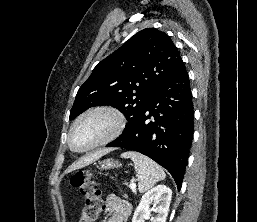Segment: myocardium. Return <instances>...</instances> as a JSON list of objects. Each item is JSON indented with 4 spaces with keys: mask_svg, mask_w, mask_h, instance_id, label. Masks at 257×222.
I'll return each instance as SVG.
<instances>
[{
    "mask_svg": "<svg viewBox=\"0 0 257 222\" xmlns=\"http://www.w3.org/2000/svg\"><path fill=\"white\" fill-rule=\"evenodd\" d=\"M94 114H105L112 119V127H111L110 131L104 138H102L100 141H98L97 143H95L94 145H92L86 149L78 150V149L74 148V146L72 144V134H73L75 127L85 117L94 115ZM125 125H126L125 114L118 107L111 105V104H101V105L93 106V107L85 110L84 112H82L70 126V129L68 132V138H67L68 146L73 152H76V153L89 152L98 147L106 145V144L112 142L113 140H115L116 138H118L121 135V133L123 132Z\"/></svg>",
    "mask_w": 257,
    "mask_h": 222,
    "instance_id": "f54148a6",
    "label": "myocardium"
}]
</instances>
